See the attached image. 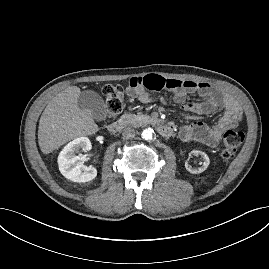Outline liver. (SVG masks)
Listing matches in <instances>:
<instances>
[{
  "label": "liver",
  "mask_w": 269,
  "mask_h": 269,
  "mask_svg": "<svg viewBox=\"0 0 269 269\" xmlns=\"http://www.w3.org/2000/svg\"><path fill=\"white\" fill-rule=\"evenodd\" d=\"M80 93L79 87L70 86L46 106L38 129L39 147L44 154L51 153L70 140L98 131L90 112L78 107Z\"/></svg>",
  "instance_id": "obj_1"
}]
</instances>
